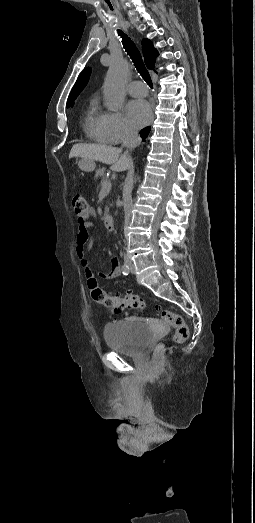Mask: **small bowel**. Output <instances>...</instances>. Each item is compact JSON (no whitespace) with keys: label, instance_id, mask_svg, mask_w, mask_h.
Here are the masks:
<instances>
[{"label":"small bowel","instance_id":"small-bowel-1","mask_svg":"<svg viewBox=\"0 0 255 523\" xmlns=\"http://www.w3.org/2000/svg\"><path fill=\"white\" fill-rule=\"evenodd\" d=\"M95 217L96 212L92 208H89L85 213L79 215L80 224L77 234L76 255L80 260L81 265L85 268L86 277L88 279L92 277V272L89 266V261L86 258V250L93 247V241L89 238V230L94 225L90 219ZM109 265L110 271L107 273L100 272L99 276L106 280H113L119 277L121 270L118 259L116 257H111L109 259Z\"/></svg>","mask_w":255,"mask_h":523}]
</instances>
